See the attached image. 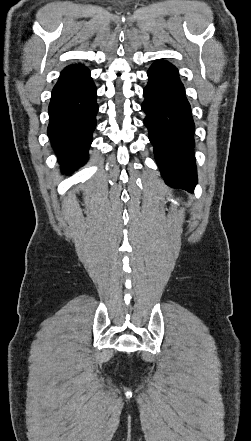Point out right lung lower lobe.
I'll return each mask as SVG.
<instances>
[{
    "label": "right lung lower lobe",
    "instance_id": "right-lung-lower-lobe-1",
    "mask_svg": "<svg viewBox=\"0 0 251 441\" xmlns=\"http://www.w3.org/2000/svg\"><path fill=\"white\" fill-rule=\"evenodd\" d=\"M96 92L83 65L66 67L52 90L48 136L65 173L88 160L98 111Z\"/></svg>",
    "mask_w": 251,
    "mask_h": 441
}]
</instances>
